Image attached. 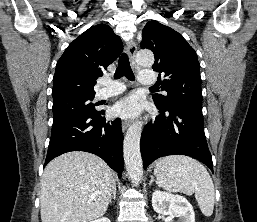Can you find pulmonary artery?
I'll return each instance as SVG.
<instances>
[{
    "label": "pulmonary artery",
    "mask_w": 257,
    "mask_h": 222,
    "mask_svg": "<svg viewBox=\"0 0 257 222\" xmlns=\"http://www.w3.org/2000/svg\"><path fill=\"white\" fill-rule=\"evenodd\" d=\"M139 81L144 85H153L156 83V74L153 71H141L139 73ZM103 87L97 91L96 97L99 99L118 95L125 90L122 83L110 81L106 78L101 80Z\"/></svg>",
    "instance_id": "1"
}]
</instances>
